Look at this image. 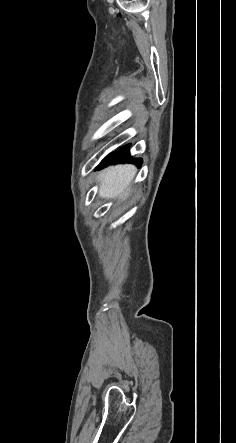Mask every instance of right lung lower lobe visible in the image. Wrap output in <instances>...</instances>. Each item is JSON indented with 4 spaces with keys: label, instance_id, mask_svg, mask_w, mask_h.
<instances>
[{
    "label": "right lung lower lobe",
    "instance_id": "98d812e1",
    "mask_svg": "<svg viewBox=\"0 0 236 443\" xmlns=\"http://www.w3.org/2000/svg\"><path fill=\"white\" fill-rule=\"evenodd\" d=\"M120 162H132L138 165L139 167L142 164V159H131L129 155V145H126L119 150L108 155L100 164L98 169L108 166L110 164H116Z\"/></svg>",
    "mask_w": 236,
    "mask_h": 443
}]
</instances>
